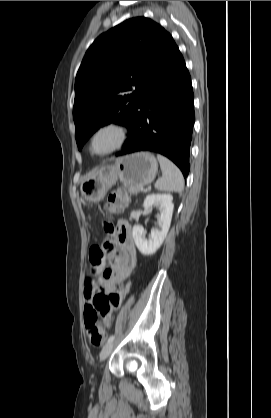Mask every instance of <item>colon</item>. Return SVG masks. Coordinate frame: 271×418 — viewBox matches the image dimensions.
I'll use <instances>...</instances> for the list:
<instances>
[{
	"label": "colon",
	"instance_id": "5ec220e1",
	"mask_svg": "<svg viewBox=\"0 0 271 418\" xmlns=\"http://www.w3.org/2000/svg\"><path fill=\"white\" fill-rule=\"evenodd\" d=\"M128 202V194L124 189L114 191L106 202V209L112 213L122 211ZM103 230L110 234L113 231V226L108 221L102 222ZM114 249L110 242H105L102 246H95L90 250V259L92 262V272L100 273L103 271V278L109 276L110 270H104V254L107 251ZM110 303L103 293L98 292L94 298V305L92 308L85 311V325L87 328V335L90 343L93 346H100L105 339V328L100 321V316L108 308Z\"/></svg>",
	"mask_w": 271,
	"mask_h": 418
}]
</instances>
